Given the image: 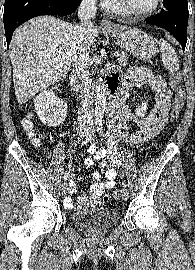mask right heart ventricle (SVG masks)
I'll use <instances>...</instances> for the list:
<instances>
[{"label":"right heart ventricle","instance_id":"obj_1","mask_svg":"<svg viewBox=\"0 0 195 270\" xmlns=\"http://www.w3.org/2000/svg\"><path fill=\"white\" fill-rule=\"evenodd\" d=\"M104 6L107 10H109L110 12L112 13H115V14H121V15H128L127 12H125L119 1L118 0H107L105 3H104Z\"/></svg>","mask_w":195,"mask_h":270}]
</instances>
